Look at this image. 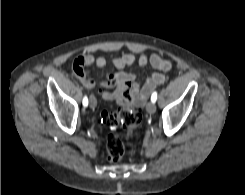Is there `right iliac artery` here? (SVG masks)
Instances as JSON below:
<instances>
[{"instance_id": "right-iliac-artery-1", "label": "right iliac artery", "mask_w": 245, "mask_h": 195, "mask_svg": "<svg viewBox=\"0 0 245 195\" xmlns=\"http://www.w3.org/2000/svg\"><path fill=\"white\" fill-rule=\"evenodd\" d=\"M83 105L86 107V106H88V98L85 96L84 98H83Z\"/></svg>"}]
</instances>
